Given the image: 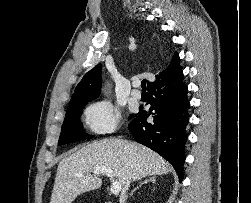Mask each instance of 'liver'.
I'll return each mask as SVG.
<instances>
[{"label":"liver","mask_w":251,"mask_h":203,"mask_svg":"<svg viewBox=\"0 0 251 203\" xmlns=\"http://www.w3.org/2000/svg\"><path fill=\"white\" fill-rule=\"evenodd\" d=\"M99 167L111 168L122 188L127 181L171 171L161 156L141 144L113 138L97 140L59 162L50 203H72L78 195L98 189L102 180L90 173Z\"/></svg>","instance_id":"6515ba94"}]
</instances>
